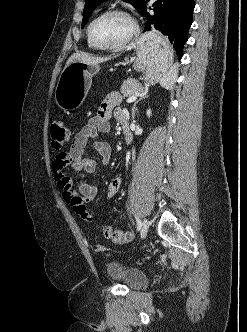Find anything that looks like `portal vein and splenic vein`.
I'll return each mask as SVG.
<instances>
[{
  "label": "portal vein and splenic vein",
  "instance_id": "1",
  "mask_svg": "<svg viewBox=\"0 0 247 332\" xmlns=\"http://www.w3.org/2000/svg\"><path fill=\"white\" fill-rule=\"evenodd\" d=\"M137 97H138V95L131 96L126 100V102L127 103H132L137 99Z\"/></svg>",
  "mask_w": 247,
  "mask_h": 332
}]
</instances>
